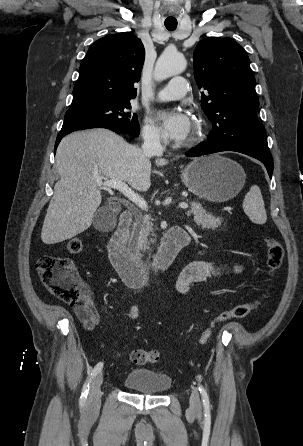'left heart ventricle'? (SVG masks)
I'll use <instances>...</instances> for the list:
<instances>
[{"instance_id":"obj_1","label":"left heart ventricle","mask_w":303,"mask_h":446,"mask_svg":"<svg viewBox=\"0 0 303 446\" xmlns=\"http://www.w3.org/2000/svg\"><path fill=\"white\" fill-rule=\"evenodd\" d=\"M192 131H193V125H192L191 131H190V133H189L188 137H190V135H191Z\"/></svg>"}]
</instances>
